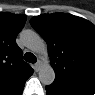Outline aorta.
I'll return each instance as SVG.
<instances>
[{
	"label": "aorta",
	"instance_id": "762f6f07",
	"mask_svg": "<svg viewBox=\"0 0 95 95\" xmlns=\"http://www.w3.org/2000/svg\"><path fill=\"white\" fill-rule=\"evenodd\" d=\"M23 44L34 52L47 54L45 41L33 30H24L20 35ZM39 79L43 85H51L55 80V72L49 61H45L39 70Z\"/></svg>",
	"mask_w": 95,
	"mask_h": 95
}]
</instances>
